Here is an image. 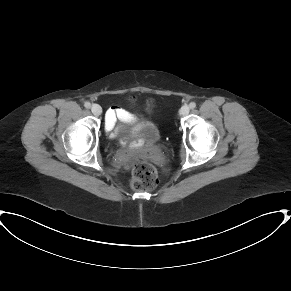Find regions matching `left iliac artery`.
Here are the masks:
<instances>
[{"mask_svg": "<svg viewBox=\"0 0 291 291\" xmlns=\"http://www.w3.org/2000/svg\"><path fill=\"white\" fill-rule=\"evenodd\" d=\"M189 107L191 109H194L196 107V103L195 102H190Z\"/></svg>", "mask_w": 291, "mask_h": 291, "instance_id": "left-iliac-artery-1", "label": "left iliac artery"}]
</instances>
